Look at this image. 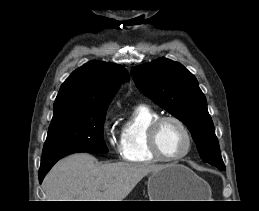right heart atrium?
Here are the masks:
<instances>
[{
	"label": "right heart atrium",
	"instance_id": "obj_1",
	"mask_svg": "<svg viewBox=\"0 0 259 211\" xmlns=\"http://www.w3.org/2000/svg\"><path fill=\"white\" fill-rule=\"evenodd\" d=\"M104 131L107 135L108 144L112 149H114L117 153L121 154L122 144L121 141L116 137V135L112 131V124L109 118H106L103 123Z\"/></svg>",
	"mask_w": 259,
	"mask_h": 211
}]
</instances>
